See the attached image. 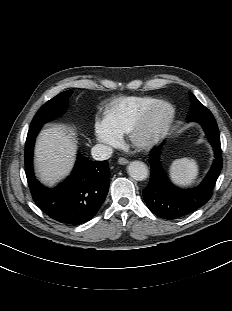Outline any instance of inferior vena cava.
<instances>
[{
    "label": "inferior vena cava",
    "instance_id": "obj_1",
    "mask_svg": "<svg viewBox=\"0 0 232 311\" xmlns=\"http://www.w3.org/2000/svg\"><path fill=\"white\" fill-rule=\"evenodd\" d=\"M91 153L95 160H107L111 157L113 149L108 145L97 144L92 148Z\"/></svg>",
    "mask_w": 232,
    "mask_h": 311
}]
</instances>
